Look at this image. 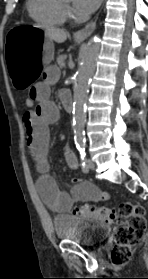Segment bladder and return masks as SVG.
<instances>
[{
    "label": "bladder",
    "mask_w": 148,
    "mask_h": 279,
    "mask_svg": "<svg viewBox=\"0 0 148 279\" xmlns=\"http://www.w3.org/2000/svg\"><path fill=\"white\" fill-rule=\"evenodd\" d=\"M53 227L59 240L72 241L89 247L103 243L110 232V227L105 223L71 215L54 216Z\"/></svg>",
    "instance_id": "1"
}]
</instances>
